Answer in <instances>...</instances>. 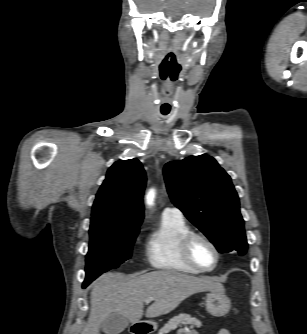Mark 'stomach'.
<instances>
[{
	"label": "stomach",
	"mask_w": 307,
	"mask_h": 334,
	"mask_svg": "<svg viewBox=\"0 0 307 334\" xmlns=\"http://www.w3.org/2000/svg\"><path fill=\"white\" fill-rule=\"evenodd\" d=\"M231 308L230 299L225 295L224 289L212 290L206 296V310L213 316L221 317L226 315ZM146 329L152 331L155 324L143 323Z\"/></svg>",
	"instance_id": "0dacf381"
}]
</instances>
